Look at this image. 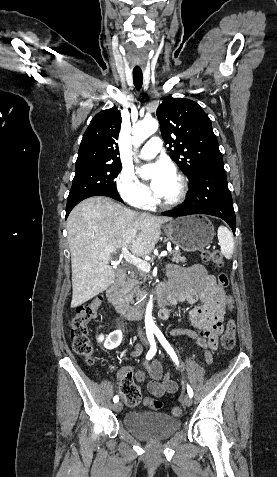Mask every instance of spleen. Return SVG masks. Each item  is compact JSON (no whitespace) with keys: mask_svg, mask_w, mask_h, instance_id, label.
<instances>
[{"mask_svg":"<svg viewBox=\"0 0 277 477\" xmlns=\"http://www.w3.org/2000/svg\"><path fill=\"white\" fill-rule=\"evenodd\" d=\"M217 236L222 254L225 258L231 259L234 250V239L232 233L225 226H219Z\"/></svg>","mask_w":277,"mask_h":477,"instance_id":"1","label":"spleen"}]
</instances>
